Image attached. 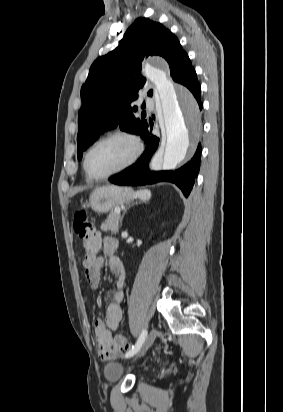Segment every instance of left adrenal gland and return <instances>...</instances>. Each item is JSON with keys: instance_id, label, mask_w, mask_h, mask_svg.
I'll return each mask as SVG.
<instances>
[{"instance_id": "obj_1", "label": "left adrenal gland", "mask_w": 283, "mask_h": 412, "mask_svg": "<svg viewBox=\"0 0 283 412\" xmlns=\"http://www.w3.org/2000/svg\"><path fill=\"white\" fill-rule=\"evenodd\" d=\"M135 204H138V202H136ZM134 204H132V206H133ZM129 207H131V206H129ZM128 207V208H129ZM126 212H127V209L124 211V213H123V215H122V217H121V224L120 225H122V220H123V217H124V215L126 214Z\"/></svg>"}]
</instances>
